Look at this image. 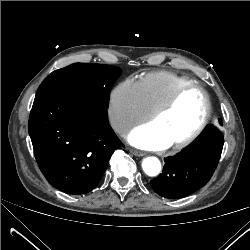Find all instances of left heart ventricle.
Segmentation results:
<instances>
[{"label": "left heart ventricle", "mask_w": 250, "mask_h": 250, "mask_svg": "<svg viewBox=\"0 0 250 250\" xmlns=\"http://www.w3.org/2000/svg\"><path fill=\"white\" fill-rule=\"evenodd\" d=\"M205 112V100L197 89L185 92L167 114L152 124L172 144L191 134Z\"/></svg>", "instance_id": "b2bd125f"}]
</instances>
